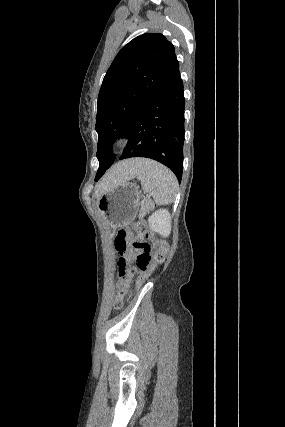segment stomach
Masks as SVG:
<instances>
[{
	"label": "stomach",
	"mask_w": 285,
	"mask_h": 427,
	"mask_svg": "<svg viewBox=\"0 0 285 427\" xmlns=\"http://www.w3.org/2000/svg\"><path fill=\"white\" fill-rule=\"evenodd\" d=\"M139 190L125 181L113 185L97 199V208L104 221L112 228L132 222L138 212Z\"/></svg>",
	"instance_id": "stomach-1"
}]
</instances>
